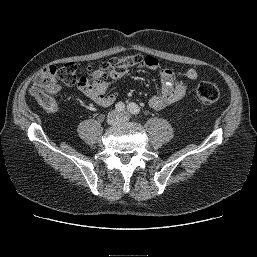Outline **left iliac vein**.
I'll return each instance as SVG.
<instances>
[{"mask_svg": "<svg viewBox=\"0 0 257 257\" xmlns=\"http://www.w3.org/2000/svg\"><path fill=\"white\" fill-rule=\"evenodd\" d=\"M130 119V115L127 112H123L121 114V120L122 121H128Z\"/></svg>", "mask_w": 257, "mask_h": 257, "instance_id": "left-iliac-vein-1", "label": "left iliac vein"}]
</instances>
